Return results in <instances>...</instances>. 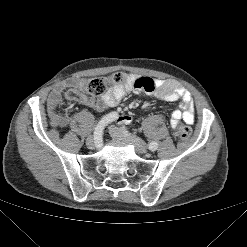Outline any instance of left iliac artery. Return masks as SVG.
<instances>
[{
	"label": "left iliac artery",
	"instance_id": "44dca946",
	"mask_svg": "<svg viewBox=\"0 0 247 247\" xmlns=\"http://www.w3.org/2000/svg\"><path fill=\"white\" fill-rule=\"evenodd\" d=\"M124 128V127H123ZM124 132L125 133H127V131L125 130V128H124ZM157 148H158V144H157V142H151L150 144H149V149L151 150V151H155V150H157Z\"/></svg>",
	"mask_w": 247,
	"mask_h": 247
}]
</instances>
